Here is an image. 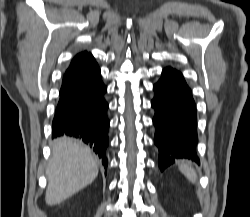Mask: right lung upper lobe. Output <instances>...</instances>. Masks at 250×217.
<instances>
[{
  "label": "right lung upper lobe",
  "mask_w": 250,
  "mask_h": 217,
  "mask_svg": "<svg viewBox=\"0 0 250 217\" xmlns=\"http://www.w3.org/2000/svg\"><path fill=\"white\" fill-rule=\"evenodd\" d=\"M91 54H88L87 52H83V53H80L78 54L77 56L74 57V59L72 60L70 67L80 63L81 61H83L85 58H87L88 56H90Z\"/></svg>",
  "instance_id": "obj_1"
}]
</instances>
